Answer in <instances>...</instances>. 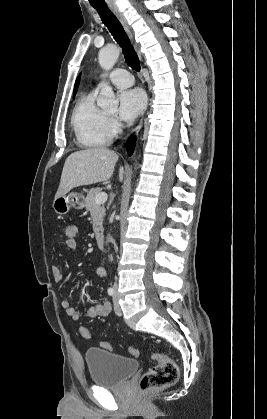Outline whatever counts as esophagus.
Instances as JSON below:
<instances>
[{
  "instance_id": "obj_1",
  "label": "esophagus",
  "mask_w": 267,
  "mask_h": 419,
  "mask_svg": "<svg viewBox=\"0 0 267 419\" xmlns=\"http://www.w3.org/2000/svg\"><path fill=\"white\" fill-rule=\"evenodd\" d=\"M111 10L115 14V16L119 19V21L121 22V24L124 27L126 33L132 39V31H131V28H130L126 18L124 17V15L119 11V9L116 6H112ZM134 46H135V49L138 53L139 58L142 59L141 53H140L137 45L135 44ZM142 125H143V119H141L139 125L136 127V129H135L136 133L142 128Z\"/></svg>"
}]
</instances>
